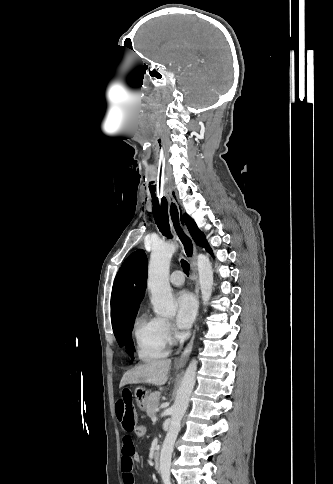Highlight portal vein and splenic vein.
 Instances as JSON below:
<instances>
[{"label": "portal vein and splenic vein", "instance_id": "18ae733b", "mask_svg": "<svg viewBox=\"0 0 333 484\" xmlns=\"http://www.w3.org/2000/svg\"><path fill=\"white\" fill-rule=\"evenodd\" d=\"M152 422H155L157 420L156 416L151 418Z\"/></svg>", "mask_w": 333, "mask_h": 484}]
</instances>
